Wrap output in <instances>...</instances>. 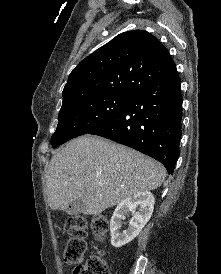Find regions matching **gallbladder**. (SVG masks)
Returning a JSON list of instances; mask_svg holds the SVG:
<instances>
[{
    "mask_svg": "<svg viewBox=\"0 0 221 274\" xmlns=\"http://www.w3.org/2000/svg\"><path fill=\"white\" fill-rule=\"evenodd\" d=\"M84 208V203L81 201V199L74 200L70 206L66 209V212L69 215H78L82 213Z\"/></svg>",
    "mask_w": 221,
    "mask_h": 274,
    "instance_id": "1",
    "label": "gallbladder"
}]
</instances>
